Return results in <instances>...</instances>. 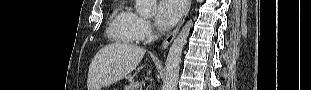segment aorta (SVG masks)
Masks as SVG:
<instances>
[{
	"mask_svg": "<svg viewBox=\"0 0 311 90\" xmlns=\"http://www.w3.org/2000/svg\"><path fill=\"white\" fill-rule=\"evenodd\" d=\"M155 5L156 0H136V11L144 17H150ZM192 25V20L185 24L169 49L165 63L166 76L162 90L177 89L182 50L187 43V38Z\"/></svg>",
	"mask_w": 311,
	"mask_h": 90,
	"instance_id": "aorta-1",
	"label": "aorta"
}]
</instances>
